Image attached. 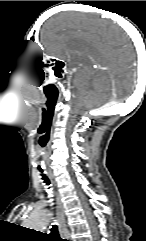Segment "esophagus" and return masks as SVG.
Masks as SVG:
<instances>
[{
	"instance_id": "34e87169",
	"label": "esophagus",
	"mask_w": 146,
	"mask_h": 241,
	"mask_svg": "<svg viewBox=\"0 0 146 241\" xmlns=\"http://www.w3.org/2000/svg\"><path fill=\"white\" fill-rule=\"evenodd\" d=\"M50 179H51L53 185L55 186L56 184H55V181H54V178L52 175H50ZM56 202H57V223H58L60 230H62L65 228L66 222H65L63 203H62L61 197L58 193H56Z\"/></svg>"
}]
</instances>
